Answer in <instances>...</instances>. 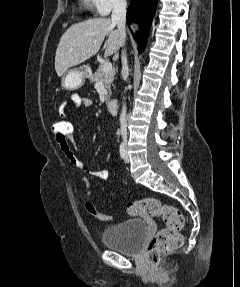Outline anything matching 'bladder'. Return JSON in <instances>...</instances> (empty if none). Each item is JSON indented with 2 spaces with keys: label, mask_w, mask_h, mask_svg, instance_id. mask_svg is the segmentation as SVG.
Listing matches in <instances>:
<instances>
[{
  "label": "bladder",
  "mask_w": 240,
  "mask_h": 287,
  "mask_svg": "<svg viewBox=\"0 0 240 287\" xmlns=\"http://www.w3.org/2000/svg\"><path fill=\"white\" fill-rule=\"evenodd\" d=\"M149 236L147 224L142 219H130L104 229V245L125 255H138Z\"/></svg>",
  "instance_id": "1"
}]
</instances>
